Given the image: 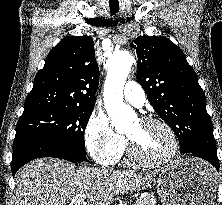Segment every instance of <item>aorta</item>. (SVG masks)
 <instances>
[{
    "label": "aorta",
    "instance_id": "aorta-1",
    "mask_svg": "<svg viewBox=\"0 0 222 205\" xmlns=\"http://www.w3.org/2000/svg\"><path fill=\"white\" fill-rule=\"evenodd\" d=\"M133 58L128 51L115 52L108 60L104 84V105L112 125L119 132L127 129L135 112L123 102V89L131 70Z\"/></svg>",
    "mask_w": 222,
    "mask_h": 205
}]
</instances>
